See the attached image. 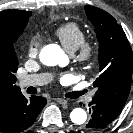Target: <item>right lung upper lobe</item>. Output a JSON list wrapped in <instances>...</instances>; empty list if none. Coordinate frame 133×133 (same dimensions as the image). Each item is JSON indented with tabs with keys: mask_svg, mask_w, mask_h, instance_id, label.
<instances>
[{
	"mask_svg": "<svg viewBox=\"0 0 133 133\" xmlns=\"http://www.w3.org/2000/svg\"><path fill=\"white\" fill-rule=\"evenodd\" d=\"M31 12L22 10H4L0 12V33H5L18 29L24 21L31 16ZM20 91L14 83H0V105L10 95Z\"/></svg>",
	"mask_w": 133,
	"mask_h": 133,
	"instance_id": "right-lung-upper-lobe-1",
	"label": "right lung upper lobe"
}]
</instances>
